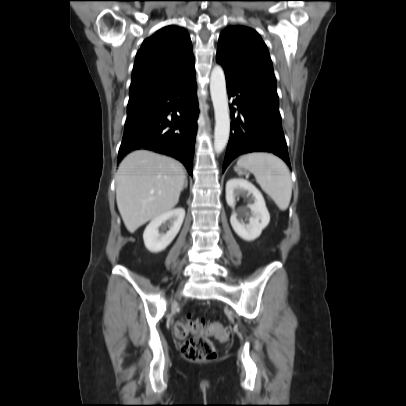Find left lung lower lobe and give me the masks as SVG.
Masks as SVG:
<instances>
[{
  "instance_id": "0a47b994",
  "label": "left lung lower lobe",
  "mask_w": 406,
  "mask_h": 406,
  "mask_svg": "<svg viewBox=\"0 0 406 406\" xmlns=\"http://www.w3.org/2000/svg\"><path fill=\"white\" fill-rule=\"evenodd\" d=\"M223 68L228 97H234L232 105L238 106V109L230 106L233 121L223 172L237 156L257 151L271 152L290 167L277 91L252 82L227 67Z\"/></svg>"
}]
</instances>
